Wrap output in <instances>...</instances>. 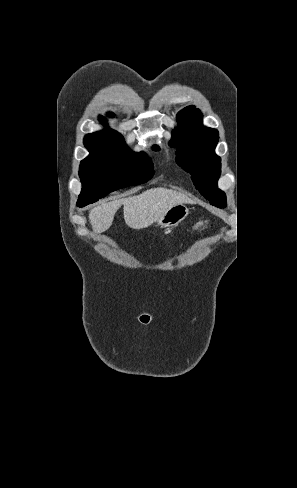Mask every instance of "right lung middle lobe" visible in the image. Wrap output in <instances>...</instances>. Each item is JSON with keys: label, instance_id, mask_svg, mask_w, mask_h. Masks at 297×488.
Masks as SVG:
<instances>
[{"label": "right lung middle lobe", "instance_id": "right-lung-middle-lobe-1", "mask_svg": "<svg viewBox=\"0 0 297 488\" xmlns=\"http://www.w3.org/2000/svg\"><path fill=\"white\" fill-rule=\"evenodd\" d=\"M89 152L79 168L82 182L79 207L94 203L112 191L145 183L154 175L151 158L142 152H132L123 138L103 140L99 148Z\"/></svg>", "mask_w": 297, "mask_h": 488}]
</instances>
